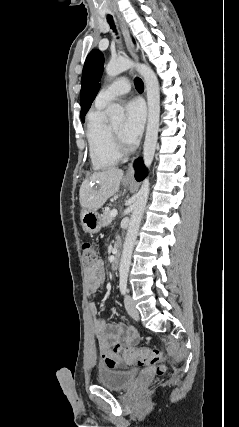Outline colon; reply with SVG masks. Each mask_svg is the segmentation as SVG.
Returning <instances> with one entry per match:
<instances>
[{
	"instance_id": "1",
	"label": "colon",
	"mask_w": 239,
	"mask_h": 427,
	"mask_svg": "<svg viewBox=\"0 0 239 427\" xmlns=\"http://www.w3.org/2000/svg\"><path fill=\"white\" fill-rule=\"evenodd\" d=\"M83 263L86 266L92 265L97 258L96 248L91 242H84L81 246ZM117 352L121 354L128 365H139L150 367L153 372L160 376L165 368L161 364V354L157 349L150 347H118Z\"/></svg>"
}]
</instances>
